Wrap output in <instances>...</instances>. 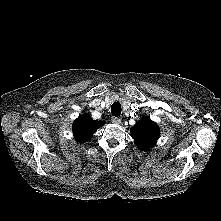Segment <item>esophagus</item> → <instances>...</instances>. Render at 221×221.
I'll use <instances>...</instances> for the list:
<instances>
[{"instance_id": "esophagus-1", "label": "esophagus", "mask_w": 221, "mask_h": 221, "mask_svg": "<svg viewBox=\"0 0 221 221\" xmlns=\"http://www.w3.org/2000/svg\"><path fill=\"white\" fill-rule=\"evenodd\" d=\"M111 121H112L114 124H120V123H121V118L112 117Z\"/></svg>"}]
</instances>
